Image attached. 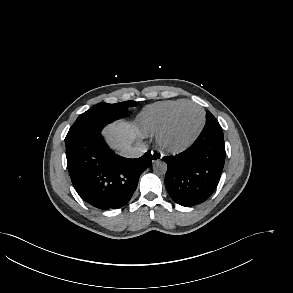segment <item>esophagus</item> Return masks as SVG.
<instances>
[{"label": "esophagus", "instance_id": "34e87169", "mask_svg": "<svg viewBox=\"0 0 293 293\" xmlns=\"http://www.w3.org/2000/svg\"><path fill=\"white\" fill-rule=\"evenodd\" d=\"M162 158V155L158 152H152V156H151V160H152V163H156L158 161H160Z\"/></svg>", "mask_w": 293, "mask_h": 293}]
</instances>
